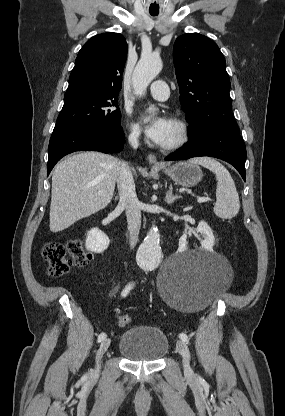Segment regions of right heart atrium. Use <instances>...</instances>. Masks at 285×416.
<instances>
[{"label":"right heart atrium","instance_id":"1","mask_svg":"<svg viewBox=\"0 0 285 416\" xmlns=\"http://www.w3.org/2000/svg\"><path fill=\"white\" fill-rule=\"evenodd\" d=\"M139 136H140V130H139V128L136 125H132L131 126V129H130V138L133 141H136V140L139 139Z\"/></svg>","mask_w":285,"mask_h":416}]
</instances>
